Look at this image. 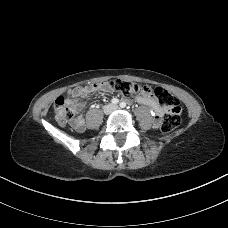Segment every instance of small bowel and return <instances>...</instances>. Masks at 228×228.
<instances>
[{
    "mask_svg": "<svg viewBox=\"0 0 228 228\" xmlns=\"http://www.w3.org/2000/svg\"><path fill=\"white\" fill-rule=\"evenodd\" d=\"M97 91L112 92L109 87L102 85V83L97 84L96 86L91 84L84 87H74L69 89L64 99L66 103L73 108L74 112L78 113L83 105L82 99L86 95ZM136 100L141 104L149 106L155 113L156 122H160L164 111L159 102L152 96L150 92L136 96ZM72 125L74 128L80 130L82 129L84 122L81 117H77Z\"/></svg>",
    "mask_w": 228,
    "mask_h": 228,
    "instance_id": "obj_1",
    "label": "small bowel"
}]
</instances>
